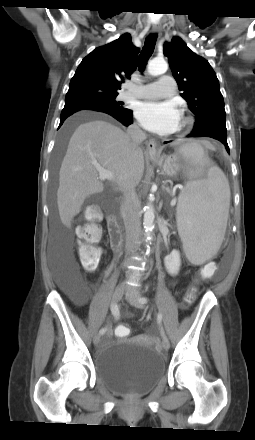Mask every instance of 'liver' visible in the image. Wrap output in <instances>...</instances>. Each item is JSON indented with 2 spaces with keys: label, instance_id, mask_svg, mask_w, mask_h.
<instances>
[{
  "label": "liver",
  "instance_id": "6515ba94",
  "mask_svg": "<svg viewBox=\"0 0 255 440\" xmlns=\"http://www.w3.org/2000/svg\"><path fill=\"white\" fill-rule=\"evenodd\" d=\"M97 167L113 173L111 181L116 190L123 191L129 184L136 187L144 172L143 151L140 147L133 149L130 137L109 122L80 124L69 140L59 171L57 206L66 227H71L88 196L103 192Z\"/></svg>",
  "mask_w": 255,
  "mask_h": 440
}]
</instances>
